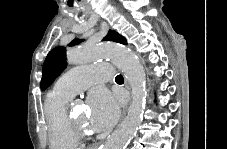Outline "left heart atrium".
Returning a JSON list of instances; mask_svg holds the SVG:
<instances>
[{
  "label": "left heart atrium",
  "mask_w": 227,
  "mask_h": 149,
  "mask_svg": "<svg viewBox=\"0 0 227 149\" xmlns=\"http://www.w3.org/2000/svg\"><path fill=\"white\" fill-rule=\"evenodd\" d=\"M89 102L92 111V128L103 131L112 127L119 115L117 99L107 90L97 89L91 93Z\"/></svg>",
  "instance_id": "39dd6f15"
}]
</instances>
